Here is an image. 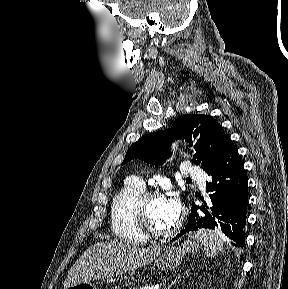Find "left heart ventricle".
I'll list each match as a JSON object with an SVG mask.
<instances>
[{"mask_svg": "<svg viewBox=\"0 0 288 289\" xmlns=\"http://www.w3.org/2000/svg\"><path fill=\"white\" fill-rule=\"evenodd\" d=\"M145 217L155 229L167 230L170 226L164 218L162 199L150 200L146 203Z\"/></svg>", "mask_w": 288, "mask_h": 289, "instance_id": "1", "label": "left heart ventricle"}]
</instances>
